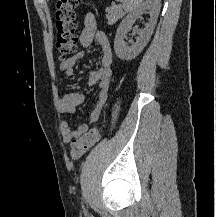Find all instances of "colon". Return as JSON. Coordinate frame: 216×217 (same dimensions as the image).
<instances>
[{
	"mask_svg": "<svg viewBox=\"0 0 216 217\" xmlns=\"http://www.w3.org/2000/svg\"><path fill=\"white\" fill-rule=\"evenodd\" d=\"M80 2L81 0H57L55 3V25L57 29L55 46L59 59L62 61L69 60L77 47V22L74 9ZM100 137L101 129L93 127L80 138L74 140L70 150L71 159L78 160L100 140Z\"/></svg>",
	"mask_w": 216,
	"mask_h": 217,
	"instance_id": "1",
	"label": "colon"
}]
</instances>
